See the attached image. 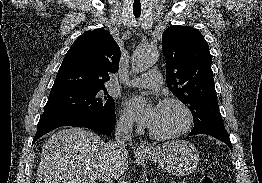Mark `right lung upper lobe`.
<instances>
[{
    "label": "right lung upper lobe",
    "instance_id": "right-lung-upper-lobe-1",
    "mask_svg": "<svg viewBox=\"0 0 262 183\" xmlns=\"http://www.w3.org/2000/svg\"><path fill=\"white\" fill-rule=\"evenodd\" d=\"M120 55V48L108 31H86L66 53L51 92L104 87L110 80L109 74L118 71Z\"/></svg>",
    "mask_w": 262,
    "mask_h": 183
}]
</instances>
